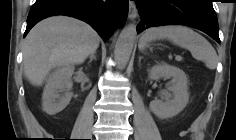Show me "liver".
<instances>
[{
    "label": "liver",
    "mask_w": 236,
    "mask_h": 140,
    "mask_svg": "<svg viewBox=\"0 0 236 140\" xmlns=\"http://www.w3.org/2000/svg\"><path fill=\"white\" fill-rule=\"evenodd\" d=\"M99 43L98 33L83 21L66 16L44 19L24 41V75L40 86L55 67L83 63Z\"/></svg>",
    "instance_id": "6515ba94"
}]
</instances>
